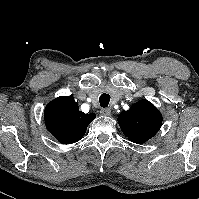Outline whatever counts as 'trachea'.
Listing matches in <instances>:
<instances>
[{
    "mask_svg": "<svg viewBox=\"0 0 199 199\" xmlns=\"http://www.w3.org/2000/svg\"><path fill=\"white\" fill-rule=\"evenodd\" d=\"M100 106L103 108L108 107V104L110 102V95L109 94H102L99 98Z\"/></svg>",
    "mask_w": 199,
    "mask_h": 199,
    "instance_id": "obj_1",
    "label": "trachea"
}]
</instances>
